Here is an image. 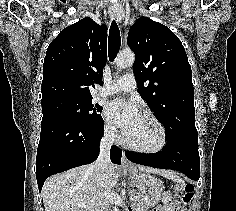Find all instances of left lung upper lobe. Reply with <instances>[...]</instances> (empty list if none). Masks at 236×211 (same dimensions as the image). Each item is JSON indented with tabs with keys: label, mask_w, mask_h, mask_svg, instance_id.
<instances>
[{
	"label": "left lung upper lobe",
	"mask_w": 236,
	"mask_h": 211,
	"mask_svg": "<svg viewBox=\"0 0 236 211\" xmlns=\"http://www.w3.org/2000/svg\"><path fill=\"white\" fill-rule=\"evenodd\" d=\"M128 44L135 53L138 91L164 125L167 141L198 140L191 66L179 38L141 17L129 30Z\"/></svg>",
	"instance_id": "1"
}]
</instances>
